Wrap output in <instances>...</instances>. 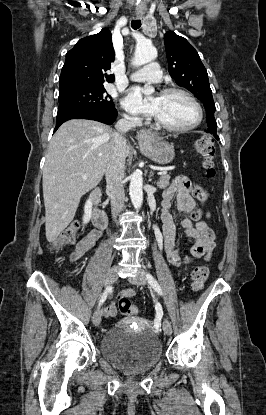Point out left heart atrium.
Returning <instances> with one entry per match:
<instances>
[{"instance_id": "obj_1", "label": "left heart atrium", "mask_w": 266, "mask_h": 415, "mask_svg": "<svg viewBox=\"0 0 266 415\" xmlns=\"http://www.w3.org/2000/svg\"><path fill=\"white\" fill-rule=\"evenodd\" d=\"M124 107L131 112L148 113L156 115L158 111V100L145 102L140 88H133L123 102Z\"/></svg>"}]
</instances>
